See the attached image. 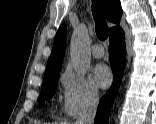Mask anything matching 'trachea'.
<instances>
[{
  "label": "trachea",
  "instance_id": "trachea-1",
  "mask_svg": "<svg viewBox=\"0 0 156 124\" xmlns=\"http://www.w3.org/2000/svg\"><path fill=\"white\" fill-rule=\"evenodd\" d=\"M92 12L95 20V29L97 37L100 40H105L108 37L109 30L102 11L97 1L92 2Z\"/></svg>",
  "mask_w": 156,
  "mask_h": 124
}]
</instances>
